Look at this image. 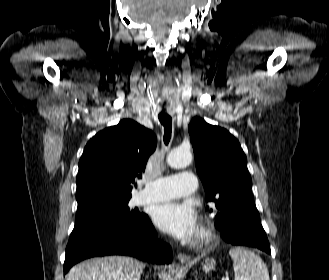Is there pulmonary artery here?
I'll use <instances>...</instances> for the list:
<instances>
[{
	"instance_id": "obj_1",
	"label": "pulmonary artery",
	"mask_w": 329,
	"mask_h": 280,
	"mask_svg": "<svg viewBox=\"0 0 329 280\" xmlns=\"http://www.w3.org/2000/svg\"><path fill=\"white\" fill-rule=\"evenodd\" d=\"M197 188L196 176L190 171L157 178L139 193L140 204L165 201L191 195Z\"/></svg>"
}]
</instances>
